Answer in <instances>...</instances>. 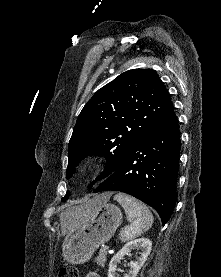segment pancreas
<instances>
[{"label":"pancreas","mask_w":221,"mask_h":277,"mask_svg":"<svg viewBox=\"0 0 221 277\" xmlns=\"http://www.w3.org/2000/svg\"><path fill=\"white\" fill-rule=\"evenodd\" d=\"M106 256H107V250L101 249L99 252V255L96 258V262L100 267L105 266Z\"/></svg>","instance_id":"cf45deb5"}]
</instances>
